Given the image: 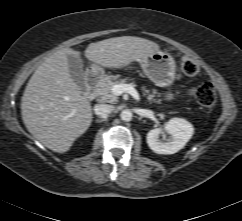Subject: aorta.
Instances as JSON below:
<instances>
[{"label":"aorta","mask_w":242,"mask_h":221,"mask_svg":"<svg viewBox=\"0 0 242 221\" xmlns=\"http://www.w3.org/2000/svg\"><path fill=\"white\" fill-rule=\"evenodd\" d=\"M132 117H133V114L128 109L123 110L120 114L121 120L126 121V122L131 121Z\"/></svg>","instance_id":"1"}]
</instances>
